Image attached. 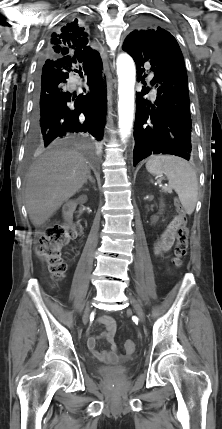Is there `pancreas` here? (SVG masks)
Wrapping results in <instances>:
<instances>
[{"label":"pancreas","mask_w":222,"mask_h":429,"mask_svg":"<svg viewBox=\"0 0 222 429\" xmlns=\"http://www.w3.org/2000/svg\"><path fill=\"white\" fill-rule=\"evenodd\" d=\"M162 189L164 192H170L171 191V189L169 187H163Z\"/></svg>","instance_id":"obj_1"}]
</instances>
